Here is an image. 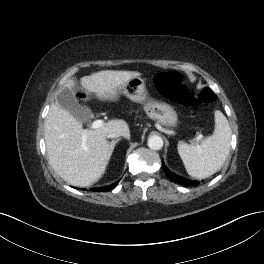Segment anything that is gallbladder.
Segmentation results:
<instances>
[{
    "instance_id": "1",
    "label": "gallbladder",
    "mask_w": 264,
    "mask_h": 264,
    "mask_svg": "<svg viewBox=\"0 0 264 264\" xmlns=\"http://www.w3.org/2000/svg\"><path fill=\"white\" fill-rule=\"evenodd\" d=\"M56 103L61 109L73 114V116L81 122L86 121L92 115L90 108L80 106L74 92L67 87H63L59 91L56 97Z\"/></svg>"
}]
</instances>
